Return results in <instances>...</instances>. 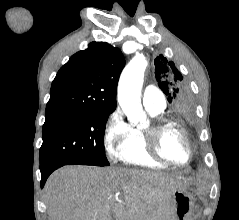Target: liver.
Here are the masks:
<instances>
[{
  "instance_id": "liver-1",
  "label": "liver",
  "mask_w": 239,
  "mask_h": 220,
  "mask_svg": "<svg viewBox=\"0 0 239 220\" xmlns=\"http://www.w3.org/2000/svg\"><path fill=\"white\" fill-rule=\"evenodd\" d=\"M179 177L139 169L67 166L48 178L50 220H166Z\"/></svg>"
}]
</instances>
